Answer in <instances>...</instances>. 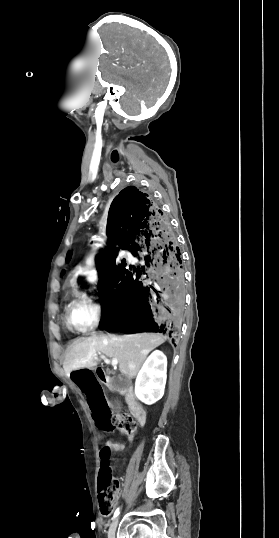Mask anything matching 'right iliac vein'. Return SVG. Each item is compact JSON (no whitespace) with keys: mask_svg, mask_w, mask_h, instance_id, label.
Listing matches in <instances>:
<instances>
[{"mask_svg":"<svg viewBox=\"0 0 279 538\" xmlns=\"http://www.w3.org/2000/svg\"><path fill=\"white\" fill-rule=\"evenodd\" d=\"M119 518H116L110 525L108 530V538H115V531L118 525Z\"/></svg>","mask_w":279,"mask_h":538,"instance_id":"obj_1","label":"right iliac vein"}]
</instances>
